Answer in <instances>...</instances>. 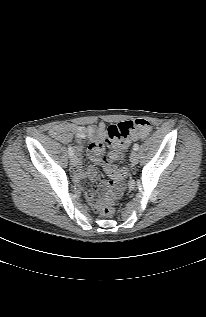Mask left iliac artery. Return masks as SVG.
<instances>
[{
  "instance_id": "44dca946",
  "label": "left iliac artery",
  "mask_w": 206,
  "mask_h": 317,
  "mask_svg": "<svg viewBox=\"0 0 206 317\" xmlns=\"http://www.w3.org/2000/svg\"><path fill=\"white\" fill-rule=\"evenodd\" d=\"M139 149V144L135 143L133 146V150L137 151Z\"/></svg>"
}]
</instances>
